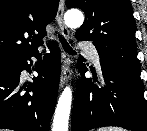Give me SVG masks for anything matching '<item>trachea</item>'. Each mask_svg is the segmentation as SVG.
<instances>
[{
	"instance_id": "3493384b",
	"label": "trachea",
	"mask_w": 147,
	"mask_h": 131,
	"mask_svg": "<svg viewBox=\"0 0 147 131\" xmlns=\"http://www.w3.org/2000/svg\"><path fill=\"white\" fill-rule=\"evenodd\" d=\"M58 37L60 39V42H61L64 50L67 53L74 55L76 52L69 46V44L67 43L66 39L63 36H61L60 34H58Z\"/></svg>"
}]
</instances>
